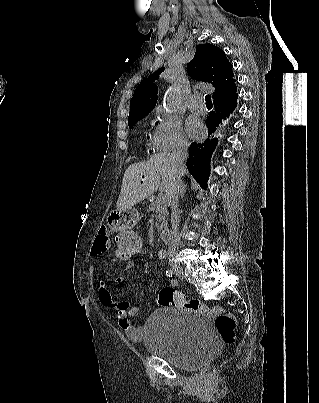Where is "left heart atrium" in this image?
<instances>
[{"mask_svg": "<svg viewBox=\"0 0 319 403\" xmlns=\"http://www.w3.org/2000/svg\"><path fill=\"white\" fill-rule=\"evenodd\" d=\"M187 133L192 138H198L203 134V126L196 117H189L186 121Z\"/></svg>", "mask_w": 319, "mask_h": 403, "instance_id": "obj_1", "label": "left heart atrium"}]
</instances>
